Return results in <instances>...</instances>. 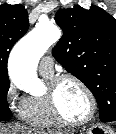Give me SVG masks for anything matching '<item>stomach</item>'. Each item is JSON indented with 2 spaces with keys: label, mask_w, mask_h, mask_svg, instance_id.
<instances>
[{
  "label": "stomach",
  "mask_w": 116,
  "mask_h": 134,
  "mask_svg": "<svg viewBox=\"0 0 116 134\" xmlns=\"http://www.w3.org/2000/svg\"><path fill=\"white\" fill-rule=\"evenodd\" d=\"M65 134H74L73 132H67ZM86 134H114L113 130L104 125L96 124L86 130Z\"/></svg>",
  "instance_id": "1"
}]
</instances>
